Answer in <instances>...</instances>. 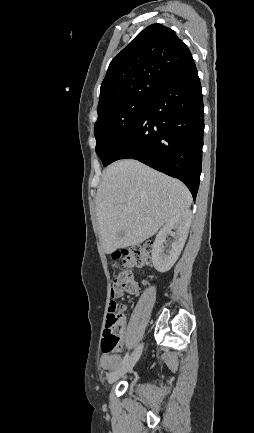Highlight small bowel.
Segmentation results:
<instances>
[{
	"mask_svg": "<svg viewBox=\"0 0 254 433\" xmlns=\"http://www.w3.org/2000/svg\"><path fill=\"white\" fill-rule=\"evenodd\" d=\"M123 295V292H116L112 293V296L115 298H119ZM122 310H125V307H122ZM123 321L125 322V319L123 318ZM121 364V357L116 354H104L101 357L100 365L103 370L106 371H112L118 368V366Z\"/></svg>",
	"mask_w": 254,
	"mask_h": 433,
	"instance_id": "small-bowel-1",
	"label": "small bowel"
}]
</instances>
